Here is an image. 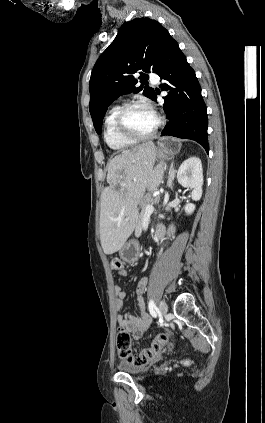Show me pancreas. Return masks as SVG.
I'll use <instances>...</instances> for the list:
<instances>
[{
  "label": "pancreas",
  "mask_w": 265,
  "mask_h": 423,
  "mask_svg": "<svg viewBox=\"0 0 265 423\" xmlns=\"http://www.w3.org/2000/svg\"><path fill=\"white\" fill-rule=\"evenodd\" d=\"M158 200V198H152L151 194H147L146 196H144V198L141 201V213L139 215L137 224H136V233L137 234H141L142 232V224H143V219L145 218V214H146V207L148 205H152L154 203H156ZM166 210H169V208H166Z\"/></svg>",
  "instance_id": "obj_1"
}]
</instances>
